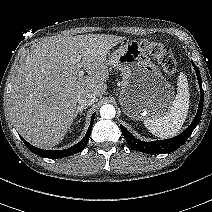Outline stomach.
Here are the masks:
<instances>
[{
  "mask_svg": "<svg viewBox=\"0 0 212 212\" xmlns=\"http://www.w3.org/2000/svg\"><path fill=\"white\" fill-rule=\"evenodd\" d=\"M108 64L122 74L119 102L123 112L134 120L166 115L174 100V88L136 40L113 51Z\"/></svg>",
  "mask_w": 212,
  "mask_h": 212,
  "instance_id": "stomach-1",
  "label": "stomach"
}]
</instances>
